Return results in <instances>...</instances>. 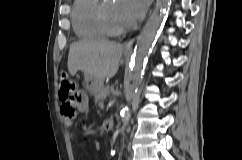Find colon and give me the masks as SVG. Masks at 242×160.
Here are the masks:
<instances>
[{
  "instance_id": "obj_1",
  "label": "colon",
  "mask_w": 242,
  "mask_h": 160,
  "mask_svg": "<svg viewBox=\"0 0 242 160\" xmlns=\"http://www.w3.org/2000/svg\"><path fill=\"white\" fill-rule=\"evenodd\" d=\"M59 96L63 104H66L62 108V114L67 118H74L79 110V106L85 102L84 91L79 89L66 73L60 75Z\"/></svg>"
}]
</instances>
